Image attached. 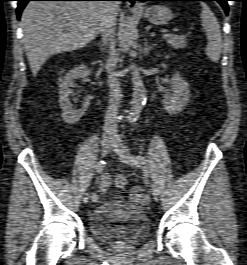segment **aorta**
<instances>
[{"label": "aorta", "mask_w": 247, "mask_h": 265, "mask_svg": "<svg viewBox=\"0 0 247 265\" xmlns=\"http://www.w3.org/2000/svg\"><path fill=\"white\" fill-rule=\"evenodd\" d=\"M125 40H130V33L126 32ZM131 80L133 85V94L131 101V116L132 118H137L143 110V107L146 103V89L140 72L138 71L135 64L131 65Z\"/></svg>", "instance_id": "762f6f07"}]
</instances>
